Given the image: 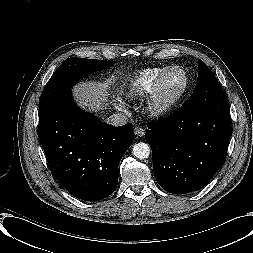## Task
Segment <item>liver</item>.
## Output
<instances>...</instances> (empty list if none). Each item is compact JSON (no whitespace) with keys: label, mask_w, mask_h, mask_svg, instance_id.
<instances>
[{"label":"liver","mask_w":253,"mask_h":253,"mask_svg":"<svg viewBox=\"0 0 253 253\" xmlns=\"http://www.w3.org/2000/svg\"><path fill=\"white\" fill-rule=\"evenodd\" d=\"M72 91L76 101L87 111H100L107 102L106 83L81 82L73 87Z\"/></svg>","instance_id":"obj_1"}]
</instances>
